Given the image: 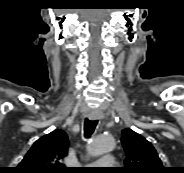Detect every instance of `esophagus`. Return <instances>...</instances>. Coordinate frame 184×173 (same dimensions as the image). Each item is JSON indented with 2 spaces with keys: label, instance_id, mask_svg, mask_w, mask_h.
Listing matches in <instances>:
<instances>
[{
  "label": "esophagus",
  "instance_id": "obj_1",
  "mask_svg": "<svg viewBox=\"0 0 184 173\" xmlns=\"http://www.w3.org/2000/svg\"><path fill=\"white\" fill-rule=\"evenodd\" d=\"M102 114L99 111H91L88 114V118L91 120L100 119Z\"/></svg>",
  "mask_w": 184,
  "mask_h": 173
}]
</instances>
